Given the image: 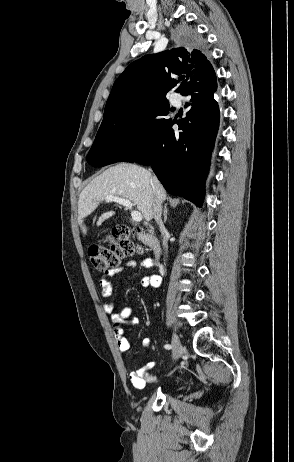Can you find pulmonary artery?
Listing matches in <instances>:
<instances>
[{"instance_id": "pulmonary-artery-1", "label": "pulmonary artery", "mask_w": 294, "mask_h": 462, "mask_svg": "<svg viewBox=\"0 0 294 462\" xmlns=\"http://www.w3.org/2000/svg\"><path fill=\"white\" fill-rule=\"evenodd\" d=\"M172 100H173L174 103H179L180 98H179V96H178L177 94H174V95L172 96Z\"/></svg>"}]
</instances>
